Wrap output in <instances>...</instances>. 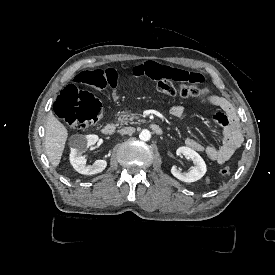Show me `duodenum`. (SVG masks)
Wrapping results in <instances>:
<instances>
[{"instance_id": "duodenum-1", "label": "duodenum", "mask_w": 275, "mask_h": 275, "mask_svg": "<svg viewBox=\"0 0 275 275\" xmlns=\"http://www.w3.org/2000/svg\"><path fill=\"white\" fill-rule=\"evenodd\" d=\"M150 129L156 135H161L163 133L162 127L158 124H151ZM115 130V125L112 123H108L102 128V133L106 136H111L115 133Z\"/></svg>"}]
</instances>
